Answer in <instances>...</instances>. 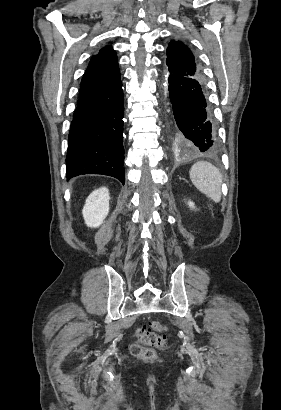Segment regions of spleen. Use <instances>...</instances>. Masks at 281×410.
<instances>
[{"mask_svg":"<svg viewBox=\"0 0 281 410\" xmlns=\"http://www.w3.org/2000/svg\"><path fill=\"white\" fill-rule=\"evenodd\" d=\"M189 175L199 191L214 202H220L222 175L214 165L207 161H198L191 167Z\"/></svg>","mask_w":281,"mask_h":410,"instance_id":"1","label":"spleen"}]
</instances>
